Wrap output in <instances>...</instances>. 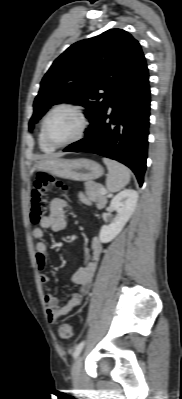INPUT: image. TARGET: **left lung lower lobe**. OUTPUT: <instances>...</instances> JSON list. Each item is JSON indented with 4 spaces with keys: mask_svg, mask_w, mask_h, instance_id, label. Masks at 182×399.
<instances>
[{
    "mask_svg": "<svg viewBox=\"0 0 182 399\" xmlns=\"http://www.w3.org/2000/svg\"><path fill=\"white\" fill-rule=\"evenodd\" d=\"M146 63L111 96L106 109L85 131V138L63 151L89 152L128 166L142 186L146 170L150 88ZM112 111L108 115L107 111Z\"/></svg>",
    "mask_w": 182,
    "mask_h": 399,
    "instance_id": "0a47b994",
    "label": "left lung lower lobe"
}]
</instances>
